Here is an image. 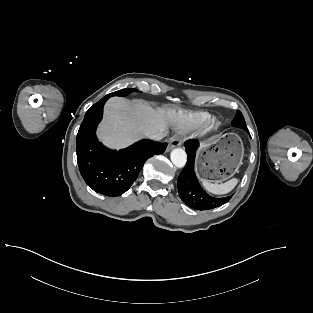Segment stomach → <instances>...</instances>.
<instances>
[{"label": "stomach", "instance_id": "stomach-1", "mask_svg": "<svg viewBox=\"0 0 313 313\" xmlns=\"http://www.w3.org/2000/svg\"><path fill=\"white\" fill-rule=\"evenodd\" d=\"M244 148L239 136L227 134L201 144L197 152V169L203 180L215 183L232 177L239 169Z\"/></svg>", "mask_w": 313, "mask_h": 313}]
</instances>
